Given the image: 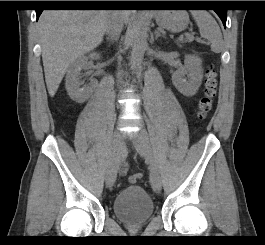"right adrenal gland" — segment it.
Here are the masks:
<instances>
[{"instance_id":"1","label":"right adrenal gland","mask_w":265,"mask_h":245,"mask_svg":"<svg viewBox=\"0 0 265 245\" xmlns=\"http://www.w3.org/2000/svg\"><path fill=\"white\" fill-rule=\"evenodd\" d=\"M106 40L109 42V44H112L116 39L107 37Z\"/></svg>"}]
</instances>
